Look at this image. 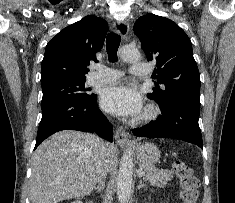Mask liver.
<instances>
[{"label": "liver", "instance_id": "1", "mask_svg": "<svg viewBox=\"0 0 235 203\" xmlns=\"http://www.w3.org/2000/svg\"><path fill=\"white\" fill-rule=\"evenodd\" d=\"M102 140L73 130L56 132L32 156V203H58L88 195L98 181ZM109 167L117 162V148L107 143Z\"/></svg>", "mask_w": 235, "mask_h": 203}]
</instances>
